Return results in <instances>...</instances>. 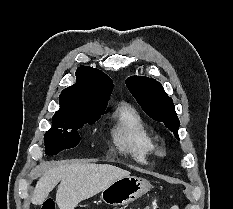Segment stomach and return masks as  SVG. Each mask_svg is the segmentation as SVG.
<instances>
[{
	"mask_svg": "<svg viewBox=\"0 0 233 209\" xmlns=\"http://www.w3.org/2000/svg\"><path fill=\"white\" fill-rule=\"evenodd\" d=\"M151 189L148 180L137 176H125L101 191L103 203L110 206L127 205L142 197Z\"/></svg>",
	"mask_w": 233,
	"mask_h": 209,
	"instance_id": "0dacf381",
	"label": "stomach"
}]
</instances>
